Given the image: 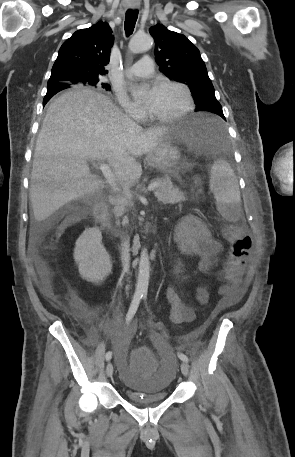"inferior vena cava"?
Returning a JSON list of instances; mask_svg holds the SVG:
<instances>
[{
    "label": "inferior vena cava",
    "mask_w": 295,
    "mask_h": 457,
    "mask_svg": "<svg viewBox=\"0 0 295 457\" xmlns=\"http://www.w3.org/2000/svg\"><path fill=\"white\" fill-rule=\"evenodd\" d=\"M121 260L123 271L128 273L130 268V245L128 237L121 244Z\"/></svg>",
    "instance_id": "obj_1"
}]
</instances>
